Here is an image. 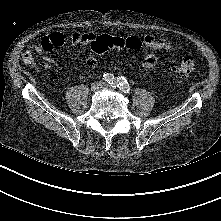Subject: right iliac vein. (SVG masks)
<instances>
[{
    "label": "right iliac vein",
    "mask_w": 221,
    "mask_h": 221,
    "mask_svg": "<svg viewBox=\"0 0 221 221\" xmlns=\"http://www.w3.org/2000/svg\"><path fill=\"white\" fill-rule=\"evenodd\" d=\"M104 82H101V81H97V82H94L92 83L91 85V91L93 92H96L98 91L99 89L103 88L104 87Z\"/></svg>",
    "instance_id": "obj_1"
}]
</instances>
